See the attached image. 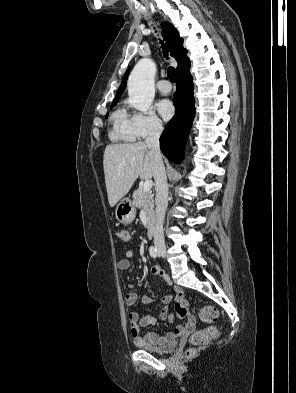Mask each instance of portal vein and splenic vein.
Listing matches in <instances>:
<instances>
[{
    "instance_id": "18ae733b",
    "label": "portal vein and splenic vein",
    "mask_w": 296,
    "mask_h": 393,
    "mask_svg": "<svg viewBox=\"0 0 296 393\" xmlns=\"http://www.w3.org/2000/svg\"><path fill=\"white\" fill-rule=\"evenodd\" d=\"M152 185H153L152 180H150V179L145 180L144 186H143V190H144L145 192L150 191L151 188H152Z\"/></svg>"
}]
</instances>
